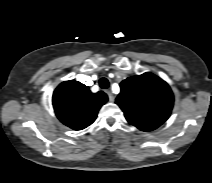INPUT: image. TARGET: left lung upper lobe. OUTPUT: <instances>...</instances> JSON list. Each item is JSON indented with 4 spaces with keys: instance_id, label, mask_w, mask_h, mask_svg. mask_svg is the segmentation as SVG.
Masks as SVG:
<instances>
[{
    "instance_id": "left-lung-upper-lobe-1",
    "label": "left lung upper lobe",
    "mask_w": 212,
    "mask_h": 183,
    "mask_svg": "<svg viewBox=\"0 0 212 183\" xmlns=\"http://www.w3.org/2000/svg\"><path fill=\"white\" fill-rule=\"evenodd\" d=\"M116 104L127 121L141 131H152L164 123L173 107V93L169 85L152 73H144L123 80Z\"/></svg>"
}]
</instances>
